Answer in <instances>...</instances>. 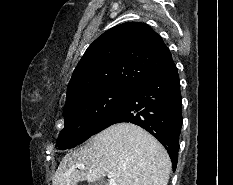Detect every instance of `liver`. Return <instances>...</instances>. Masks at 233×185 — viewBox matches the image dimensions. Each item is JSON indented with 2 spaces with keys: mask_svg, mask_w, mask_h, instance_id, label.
<instances>
[{
  "mask_svg": "<svg viewBox=\"0 0 233 185\" xmlns=\"http://www.w3.org/2000/svg\"><path fill=\"white\" fill-rule=\"evenodd\" d=\"M79 164L85 168H77ZM170 171V157L156 138L137 125L119 123L67 153L52 185L96 182L109 173L114 175L116 185H167Z\"/></svg>",
  "mask_w": 233,
  "mask_h": 185,
  "instance_id": "liver-1",
  "label": "liver"
}]
</instances>
